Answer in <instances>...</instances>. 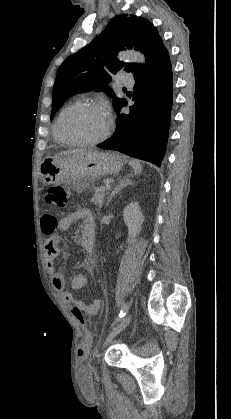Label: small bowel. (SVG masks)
Here are the masks:
<instances>
[{"instance_id":"small-bowel-1","label":"small bowel","mask_w":231,"mask_h":419,"mask_svg":"<svg viewBox=\"0 0 231 419\" xmlns=\"http://www.w3.org/2000/svg\"><path fill=\"white\" fill-rule=\"evenodd\" d=\"M76 221L82 222V232L73 237L74 241L80 245L85 251L83 266L92 268L93 250L95 241V220L90 210L81 208L76 212L69 214L59 221L53 215H44L41 218L40 225L44 234L49 235V239L45 244L46 261L49 269L53 270L55 260L59 255L60 236L55 234L58 229L67 231ZM53 286L56 291L60 292L63 300L70 304L74 313L79 312L83 316H95L101 309V301L94 299L90 303H85L77 299L72 292L66 291V280L61 271H57L53 275ZM87 284V278L83 274L74 276L71 281V289L79 290Z\"/></svg>"}]
</instances>
